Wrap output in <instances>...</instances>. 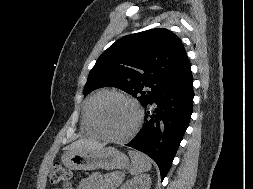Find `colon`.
Wrapping results in <instances>:
<instances>
[{
	"label": "colon",
	"instance_id": "1",
	"mask_svg": "<svg viewBox=\"0 0 253 189\" xmlns=\"http://www.w3.org/2000/svg\"><path fill=\"white\" fill-rule=\"evenodd\" d=\"M70 180V172L59 163H55L51 169L50 182L52 184L68 185ZM68 189V188H67Z\"/></svg>",
	"mask_w": 253,
	"mask_h": 189
}]
</instances>
